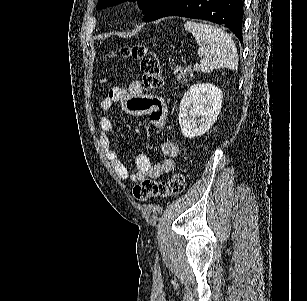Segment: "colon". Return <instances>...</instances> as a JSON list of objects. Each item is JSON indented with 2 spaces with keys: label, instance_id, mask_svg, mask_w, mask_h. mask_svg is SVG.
Returning a JSON list of instances; mask_svg holds the SVG:
<instances>
[{
  "label": "colon",
  "instance_id": "5ec220e1",
  "mask_svg": "<svg viewBox=\"0 0 307 301\" xmlns=\"http://www.w3.org/2000/svg\"><path fill=\"white\" fill-rule=\"evenodd\" d=\"M115 54L112 52L111 56ZM118 54L140 62L142 81L146 88L157 89L163 85L164 79L158 57L146 45L124 46ZM185 184V176L180 172L172 173L166 182L144 179L133 188V196L141 202L154 197L178 196L184 191Z\"/></svg>",
  "mask_w": 307,
  "mask_h": 301
}]
</instances>
